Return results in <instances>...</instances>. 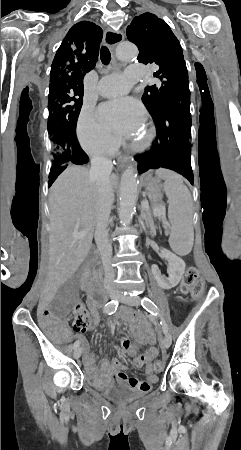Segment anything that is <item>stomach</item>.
Instances as JSON below:
<instances>
[{
  "label": "stomach",
  "instance_id": "obj_1",
  "mask_svg": "<svg viewBox=\"0 0 241 450\" xmlns=\"http://www.w3.org/2000/svg\"><path fill=\"white\" fill-rule=\"evenodd\" d=\"M145 189L149 200L153 204H157L162 200V186L158 179H145Z\"/></svg>",
  "mask_w": 241,
  "mask_h": 450
}]
</instances>
